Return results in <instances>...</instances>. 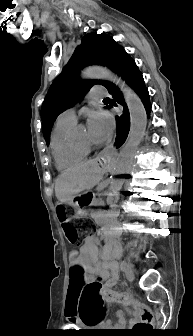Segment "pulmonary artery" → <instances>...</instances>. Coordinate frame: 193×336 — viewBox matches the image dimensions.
Masks as SVG:
<instances>
[{"instance_id":"obj_1","label":"pulmonary artery","mask_w":193,"mask_h":336,"mask_svg":"<svg viewBox=\"0 0 193 336\" xmlns=\"http://www.w3.org/2000/svg\"><path fill=\"white\" fill-rule=\"evenodd\" d=\"M108 91L104 87H94L91 90L90 97L91 98H102L108 96ZM76 123V114L73 109H67L64 112H62L58 119L57 124L63 125V124H75Z\"/></svg>"}]
</instances>
